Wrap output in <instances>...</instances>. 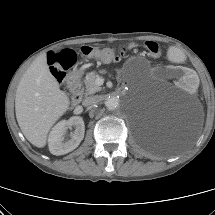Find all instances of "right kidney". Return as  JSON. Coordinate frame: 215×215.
Instances as JSON below:
<instances>
[{
	"label": "right kidney",
	"instance_id": "obj_1",
	"mask_svg": "<svg viewBox=\"0 0 215 215\" xmlns=\"http://www.w3.org/2000/svg\"><path fill=\"white\" fill-rule=\"evenodd\" d=\"M74 126L75 130L69 140H65L64 136L67 129ZM85 125L83 118L80 116H73L69 120H62L58 122L49 134L48 146L53 155L67 154L76 149L84 138Z\"/></svg>",
	"mask_w": 215,
	"mask_h": 215
}]
</instances>
